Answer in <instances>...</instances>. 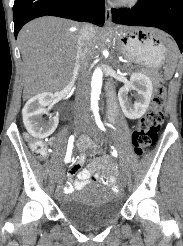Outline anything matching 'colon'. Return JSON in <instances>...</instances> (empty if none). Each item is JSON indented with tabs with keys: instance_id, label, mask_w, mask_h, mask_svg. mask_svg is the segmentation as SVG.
Returning <instances> with one entry per match:
<instances>
[{
	"instance_id": "1",
	"label": "colon",
	"mask_w": 183,
	"mask_h": 246,
	"mask_svg": "<svg viewBox=\"0 0 183 246\" xmlns=\"http://www.w3.org/2000/svg\"><path fill=\"white\" fill-rule=\"evenodd\" d=\"M165 100L166 88L160 83L155 87L150 110L139 120L138 126L133 132L134 151L138 157H141L146 150L156 143L157 134L164 119L163 107ZM30 147L37 157H45L46 148L41 141H31ZM96 152H100V157H106L107 155L106 149H101V151L97 150Z\"/></svg>"
}]
</instances>
